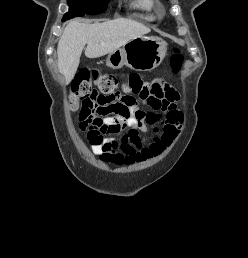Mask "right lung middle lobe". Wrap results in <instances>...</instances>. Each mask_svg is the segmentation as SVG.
<instances>
[{
	"label": "right lung middle lobe",
	"mask_w": 248,
	"mask_h": 258,
	"mask_svg": "<svg viewBox=\"0 0 248 258\" xmlns=\"http://www.w3.org/2000/svg\"><path fill=\"white\" fill-rule=\"evenodd\" d=\"M109 0H68L69 11L62 21L85 14L95 15L106 10Z\"/></svg>",
	"instance_id": "obj_1"
}]
</instances>
